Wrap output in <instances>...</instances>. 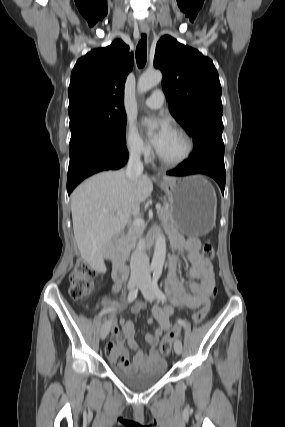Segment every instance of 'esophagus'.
<instances>
[{"mask_svg": "<svg viewBox=\"0 0 285 427\" xmlns=\"http://www.w3.org/2000/svg\"><path fill=\"white\" fill-rule=\"evenodd\" d=\"M141 31H142V33H144V34H148V32H149V30H148V29H146V28H142V29H141Z\"/></svg>", "mask_w": 285, "mask_h": 427, "instance_id": "34e87169", "label": "esophagus"}]
</instances>
